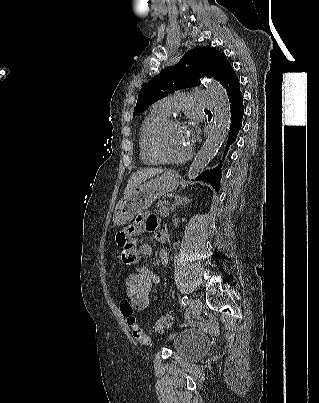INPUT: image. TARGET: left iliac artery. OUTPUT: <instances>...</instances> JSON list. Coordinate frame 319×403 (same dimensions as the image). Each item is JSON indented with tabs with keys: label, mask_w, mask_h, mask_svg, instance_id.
Wrapping results in <instances>:
<instances>
[{
	"label": "left iliac artery",
	"mask_w": 319,
	"mask_h": 403,
	"mask_svg": "<svg viewBox=\"0 0 319 403\" xmlns=\"http://www.w3.org/2000/svg\"><path fill=\"white\" fill-rule=\"evenodd\" d=\"M182 304H183L184 306H187V305L189 304V298H188V296H184V297L182 298Z\"/></svg>",
	"instance_id": "1"
}]
</instances>
